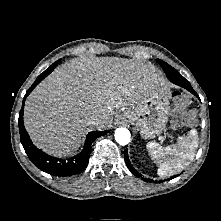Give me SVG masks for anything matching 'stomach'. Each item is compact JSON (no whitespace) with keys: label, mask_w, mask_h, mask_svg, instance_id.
<instances>
[{"label":"stomach","mask_w":221,"mask_h":221,"mask_svg":"<svg viewBox=\"0 0 221 221\" xmlns=\"http://www.w3.org/2000/svg\"><path fill=\"white\" fill-rule=\"evenodd\" d=\"M170 95L169 89L155 92L126 111L123 118L135 125L143 138H155L166 128Z\"/></svg>","instance_id":"obj_1"}]
</instances>
